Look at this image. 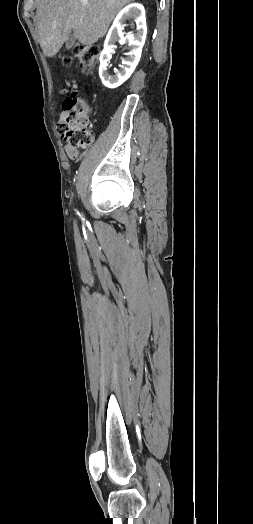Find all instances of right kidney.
I'll list each match as a JSON object with an SVG mask.
<instances>
[{
    "instance_id": "ca27d5eb",
    "label": "right kidney",
    "mask_w": 253,
    "mask_h": 524,
    "mask_svg": "<svg viewBox=\"0 0 253 524\" xmlns=\"http://www.w3.org/2000/svg\"><path fill=\"white\" fill-rule=\"evenodd\" d=\"M127 19L134 20L136 31L133 34L124 35L122 23ZM146 34L145 9L141 4H130L119 12L106 36L104 49L99 58V76L104 86L111 89L117 88L131 76L140 60ZM116 42L125 44L129 52L127 58L122 61L120 70L115 71V75H110L107 67Z\"/></svg>"
}]
</instances>
